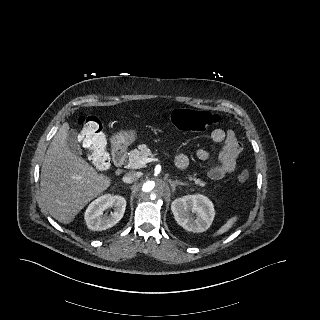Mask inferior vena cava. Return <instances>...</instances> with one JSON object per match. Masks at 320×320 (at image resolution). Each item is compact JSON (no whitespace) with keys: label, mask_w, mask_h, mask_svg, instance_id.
Returning <instances> with one entry per match:
<instances>
[{"label":"inferior vena cava","mask_w":320,"mask_h":320,"mask_svg":"<svg viewBox=\"0 0 320 320\" xmlns=\"http://www.w3.org/2000/svg\"><path fill=\"white\" fill-rule=\"evenodd\" d=\"M140 177V173L139 172H129V173H126L123 177V181L125 183H133L135 182L136 180H138V178Z\"/></svg>","instance_id":"obj_1"}]
</instances>
